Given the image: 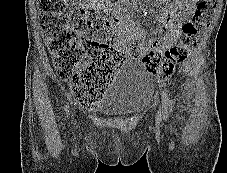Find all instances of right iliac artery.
I'll return each mask as SVG.
<instances>
[{"instance_id": "1", "label": "right iliac artery", "mask_w": 227, "mask_h": 173, "mask_svg": "<svg viewBox=\"0 0 227 173\" xmlns=\"http://www.w3.org/2000/svg\"><path fill=\"white\" fill-rule=\"evenodd\" d=\"M68 108H69V107L66 105L65 111H66L67 115L69 114V109H68Z\"/></svg>"}]
</instances>
